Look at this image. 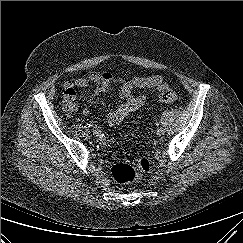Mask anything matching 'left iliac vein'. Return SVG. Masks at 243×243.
Segmentation results:
<instances>
[{
  "instance_id": "1",
  "label": "left iliac vein",
  "mask_w": 243,
  "mask_h": 243,
  "mask_svg": "<svg viewBox=\"0 0 243 243\" xmlns=\"http://www.w3.org/2000/svg\"><path fill=\"white\" fill-rule=\"evenodd\" d=\"M156 132H157V135L162 136L165 131H164V128L158 127L157 130H156Z\"/></svg>"
}]
</instances>
